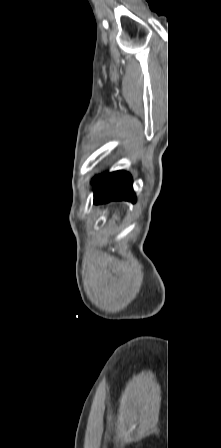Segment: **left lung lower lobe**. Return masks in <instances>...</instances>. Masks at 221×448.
I'll return each mask as SVG.
<instances>
[{
  "label": "left lung lower lobe",
  "instance_id": "0a47b994",
  "mask_svg": "<svg viewBox=\"0 0 221 448\" xmlns=\"http://www.w3.org/2000/svg\"><path fill=\"white\" fill-rule=\"evenodd\" d=\"M94 187V203H107L109 201L127 200L136 201L135 194L132 189V178L125 171H115L97 176L93 180Z\"/></svg>",
  "mask_w": 221,
  "mask_h": 448
}]
</instances>
